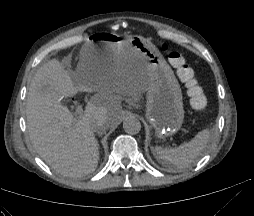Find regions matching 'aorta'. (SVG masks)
<instances>
[{"label":"aorta","instance_id":"aorta-1","mask_svg":"<svg viewBox=\"0 0 254 216\" xmlns=\"http://www.w3.org/2000/svg\"><path fill=\"white\" fill-rule=\"evenodd\" d=\"M123 129L130 135L138 134L141 130V122L136 117L129 116L123 122Z\"/></svg>","mask_w":254,"mask_h":216}]
</instances>
